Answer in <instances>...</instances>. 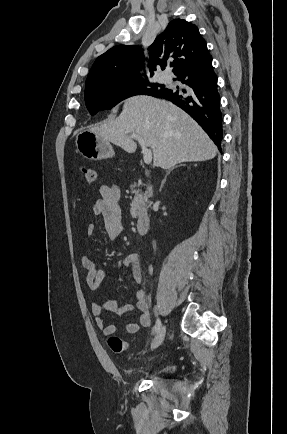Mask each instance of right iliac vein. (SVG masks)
Segmentation results:
<instances>
[{
    "instance_id": "1",
    "label": "right iliac vein",
    "mask_w": 287,
    "mask_h": 434,
    "mask_svg": "<svg viewBox=\"0 0 287 434\" xmlns=\"http://www.w3.org/2000/svg\"><path fill=\"white\" fill-rule=\"evenodd\" d=\"M166 334V327L163 326L160 331L157 333V335L155 336L152 344H151V349H156L157 347H159L161 345V343L164 340Z\"/></svg>"
}]
</instances>
